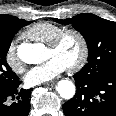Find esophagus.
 Returning a JSON list of instances; mask_svg holds the SVG:
<instances>
[{"label": "esophagus", "instance_id": "obj_1", "mask_svg": "<svg viewBox=\"0 0 116 116\" xmlns=\"http://www.w3.org/2000/svg\"><path fill=\"white\" fill-rule=\"evenodd\" d=\"M47 86H53L54 84H55V82L54 81H50V82H47V83H45Z\"/></svg>", "mask_w": 116, "mask_h": 116}]
</instances>
